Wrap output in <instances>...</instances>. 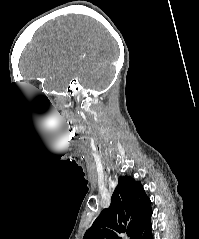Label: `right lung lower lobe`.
Here are the masks:
<instances>
[{"instance_id": "1", "label": "right lung lower lobe", "mask_w": 199, "mask_h": 239, "mask_svg": "<svg viewBox=\"0 0 199 239\" xmlns=\"http://www.w3.org/2000/svg\"><path fill=\"white\" fill-rule=\"evenodd\" d=\"M150 219L138 230L132 239H153Z\"/></svg>"}]
</instances>
